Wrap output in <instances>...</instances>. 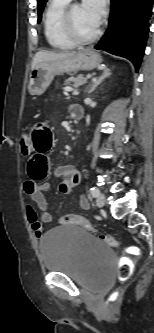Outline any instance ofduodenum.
I'll use <instances>...</instances> for the list:
<instances>
[{
	"label": "duodenum",
	"instance_id": "duodenum-1",
	"mask_svg": "<svg viewBox=\"0 0 154 333\" xmlns=\"http://www.w3.org/2000/svg\"><path fill=\"white\" fill-rule=\"evenodd\" d=\"M84 115V111L81 107H75L72 111H71V116L74 120H81L83 118Z\"/></svg>",
	"mask_w": 154,
	"mask_h": 333
}]
</instances>
